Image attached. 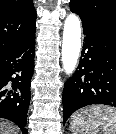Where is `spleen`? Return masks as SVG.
<instances>
[{
    "mask_svg": "<svg viewBox=\"0 0 116 134\" xmlns=\"http://www.w3.org/2000/svg\"><path fill=\"white\" fill-rule=\"evenodd\" d=\"M72 134H116V108L93 105L75 112L71 118Z\"/></svg>",
    "mask_w": 116,
    "mask_h": 134,
    "instance_id": "3e777b00",
    "label": "spleen"
}]
</instances>
